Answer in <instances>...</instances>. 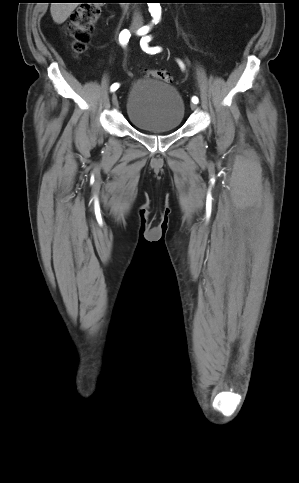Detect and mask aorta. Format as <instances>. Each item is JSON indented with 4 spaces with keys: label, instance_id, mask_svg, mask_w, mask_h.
<instances>
[{
    "label": "aorta",
    "instance_id": "obj_1",
    "mask_svg": "<svg viewBox=\"0 0 299 483\" xmlns=\"http://www.w3.org/2000/svg\"><path fill=\"white\" fill-rule=\"evenodd\" d=\"M149 12L154 20H159L161 17V6L160 3H148Z\"/></svg>",
    "mask_w": 299,
    "mask_h": 483
}]
</instances>
